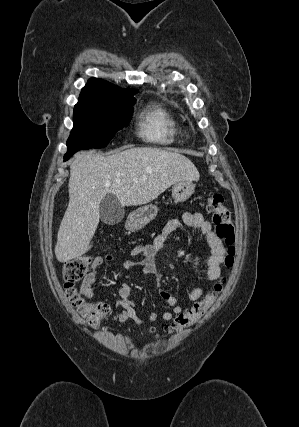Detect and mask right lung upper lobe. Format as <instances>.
<instances>
[{
	"label": "right lung upper lobe",
	"mask_w": 299,
	"mask_h": 427,
	"mask_svg": "<svg viewBox=\"0 0 299 427\" xmlns=\"http://www.w3.org/2000/svg\"><path fill=\"white\" fill-rule=\"evenodd\" d=\"M136 90L121 89L98 78H91L81 90L79 102H102L133 98Z\"/></svg>",
	"instance_id": "obj_1"
}]
</instances>
